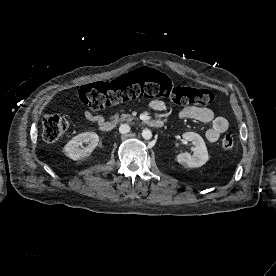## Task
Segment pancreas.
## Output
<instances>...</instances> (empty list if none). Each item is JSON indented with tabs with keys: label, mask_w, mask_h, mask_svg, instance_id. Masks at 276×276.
Here are the masks:
<instances>
[{
	"label": "pancreas",
	"mask_w": 276,
	"mask_h": 276,
	"mask_svg": "<svg viewBox=\"0 0 276 276\" xmlns=\"http://www.w3.org/2000/svg\"><path fill=\"white\" fill-rule=\"evenodd\" d=\"M111 119H113L114 123H118V122H129L131 120L134 119V117H132L130 114H122V115H114L111 117Z\"/></svg>",
	"instance_id": "pancreas-1"
}]
</instances>
